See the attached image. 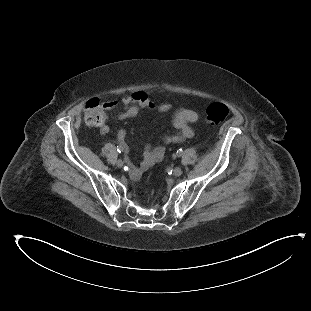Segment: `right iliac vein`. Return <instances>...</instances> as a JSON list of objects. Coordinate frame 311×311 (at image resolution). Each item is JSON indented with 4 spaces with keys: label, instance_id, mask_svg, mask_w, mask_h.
I'll return each mask as SVG.
<instances>
[{
    "label": "right iliac vein",
    "instance_id": "1",
    "mask_svg": "<svg viewBox=\"0 0 311 311\" xmlns=\"http://www.w3.org/2000/svg\"><path fill=\"white\" fill-rule=\"evenodd\" d=\"M116 165H117V167L121 168V167H123L124 163H123L122 160H118V161L116 162Z\"/></svg>",
    "mask_w": 311,
    "mask_h": 311
}]
</instances>
